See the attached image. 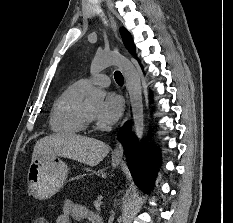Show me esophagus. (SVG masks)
I'll return each mask as SVG.
<instances>
[{"label":"esophagus","mask_w":233,"mask_h":223,"mask_svg":"<svg viewBox=\"0 0 233 223\" xmlns=\"http://www.w3.org/2000/svg\"><path fill=\"white\" fill-rule=\"evenodd\" d=\"M108 15H109V18H110V21H111V24H112V27H113V30H114V33H115V38L117 39L118 43H119V32H118V26H117V23L112 15L111 12L108 11ZM127 117L125 118V121H126ZM123 157V148H122V145L121 143L119 142V140H116V144H115V148H114V151H113V154H112V158H115V159H121Z\"/></svg>","instance_id":"esophagus-1"}]
</instances>
